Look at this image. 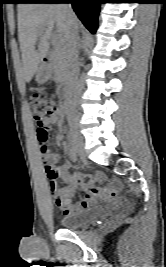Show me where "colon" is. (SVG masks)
I'll return each mask as SVG.
<instances>
[{"instance_id":"1","label":"colon","mask_w":166,"mask_h":267,"mask_svg":"<svg viewBox=\"0 0 166 267\" xmlns=\"http://www.w3.org/2000/svg\"><path fill=\"white\" fill-rule=\"evenodd\" d=\"M30 104L33 110V116L36 123V135L43 153L47 152L45 145L47 140L46 118L53 115L57 110V104L52 98L43 97L40 93H33L30 96ZM45 171L49 179H55L58 176L57 168L51 162H45Z\"/></svg>"}]
</instances>
